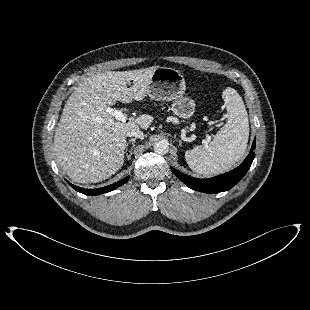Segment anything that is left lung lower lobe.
Masks as SVG:
<instances>
[{"mask_svg":"<svg viewBox=\"0 0 310 310\" xmlns=\"http://www.w3.org/2000/svg\"><path fill=\"white\" fill-rule=\"evenodd\" d=\"M255 144L256 141L254 139L249 155L240 166L228 173L210 179L193 178L178 172L172 167L171 170L176 177H178L184 184H186L193 190L205 193H219L227 191L231 189L234 185H236L249 170L255 157V153L253 152V150L255 149Z\"/></svg>","mask_w":310,"mask_h":310,"instance_id":"0a47b994","label":"left lung lower lobe"}]
</instances>
